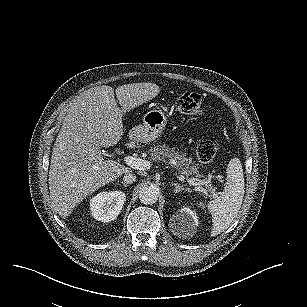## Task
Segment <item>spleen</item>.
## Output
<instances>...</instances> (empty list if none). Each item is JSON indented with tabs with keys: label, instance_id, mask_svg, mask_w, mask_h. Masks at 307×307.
I'll use <instances>...</instances> for the list:
<instances>
[{
	"label": "spleen",
	"instance_id": "spleen-1",
	"mask_svg": "<svg viewBox=\"0 0 307 307\" xmlns=\"http://www.w3.org/2000/svg\"><path fill=\"white\" fill-rule=\"evenodd\" d=\"M228 182L220 196L209 202L214 226L211 235L226 230L236 218L244 198L245 181L239 158H233L227 165Z\"/></svg>",
	"mask_w": 307,
	"mask_h": 307
}]
</instances>
